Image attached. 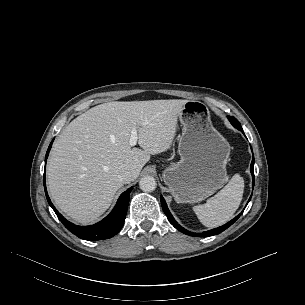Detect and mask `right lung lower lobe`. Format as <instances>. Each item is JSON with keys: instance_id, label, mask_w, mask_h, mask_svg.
Wrapping results in <instances>:
<instances>
[{"instance_id": "obj_1", "label": "right lung lower lobe", "mask_w": 305, "mask_h": 305, "mask_svg": "<svg viewBox=\"0 0 305 305\" xmlns=\"http://www.w3.org/2000/svg\"><path fill=\"white\" fill-rule=\"evenodd\" d=\"M53 141L49 145V148L46 153L45 157V163L49 154V151L51 149ZM44 188H45V194L47 201L49 205L53 208L55 211L58 219L64 224V226L71 231L73 234L78 236L81 239L84 240H103V239H108L116 235L122 228L123 223L125 221L126 213H127V208H128V203L130 199V192L133 187L127 189L125 192H123L114 209L111 211V213L105 217L102 221L95 225H90V226H77L72 224L71 222L67 221L54 207L52 204L47 190H46V184H45V170H44Z\"/></svg>"}]
</instances>
